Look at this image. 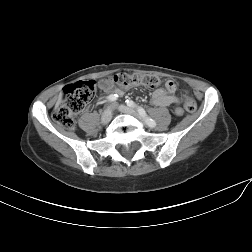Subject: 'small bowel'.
I'll use <instances>...</instances> for the list:
<instances>
[{
	"label": "small bowel",
	"mask_w": 252,
	"mask_h": 252,
	"mask_svg": "<svg viewBox=\"0 0 252 252\" xmlns=\"http://www.w3.org/2000/svg\"><path fill=\"white\" fill-rule=\"evenodd\" d=\"M99 87L104 93L110 94V95L116 94V95L121 96L123 95V92H124L121 89L114 88V86L108 84L106 80L100 81ZM174 91H175V85L173 87H169L168 85H165V89L155 90L151 97V104L154 106H159V107L178 105L180 103V100L175 95Z\"/></svg>",
	"instance_id": "small-bowel-1"
}]
</instances>
